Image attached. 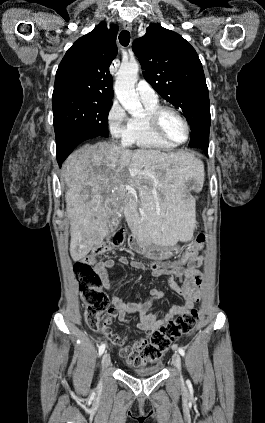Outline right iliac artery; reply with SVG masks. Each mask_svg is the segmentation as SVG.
<instances>
[{
    "mask_svg": "<svg viewBox=\"0 0 265 423\" xmlns=\"http://www.w3.org/2000/svg\"><path fill=\"white\" fill-rule=\"evenodd\" d=\"M104 351H105V344H102V345L99 347V356H101V355L104 353Z\"/></svg>",
    "mask_w": 265,
    "mask_h": 423,
    "instance_id": "82829eb1",
    "label": "right iliac artery"
}]
</instances>
